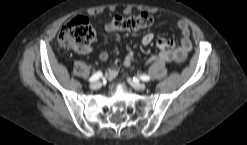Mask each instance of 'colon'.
<instances>
[{"mask_svg":"<svg viewBox=\"0 0 247 145\" xmlns=\"http://www.w3.org/2000/svg\"><path fill=\"white\" fill-rule=\"evenodd\" d=\"M153 18L147 13L121 16L115 15L107 23L112 30L137 31L152 25ZM96 34L85 16H77L62 26L58 34V43L62 48L83 50L95 40Z\"/></svg>","mask_w":247,"mask_h":145,"instance_id":"5ec220e1","label":"colon"}]
</instances>
